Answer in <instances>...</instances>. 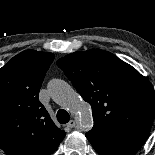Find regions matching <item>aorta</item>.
<instances>
[{
	"instance_id": "762f6f07",
	"label": "aorta",
	"mask_w": 155,
	"mask_h": 155,
	"mask_svg": "<svg viewBox=\"0 0 155 155\" xmlns=\"http://www.w3.org/2000/svg\"><path fill=\"white\" fill-rule=\"evenodd\" d=\"M49 92L54 101L76 116L82 130H91L93 118L90 105L81 99L66 81L53 79L49 83Z\"/></svg>"
}]
</instances>
